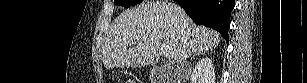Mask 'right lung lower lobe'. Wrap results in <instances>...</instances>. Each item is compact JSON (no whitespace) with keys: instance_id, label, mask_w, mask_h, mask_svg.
Wrapping results in <instances>:
<instances>
[{"instance_id":"right-lung-lower-lobe-1","label":"right lung lower lobe","mask_w":307,"mask_h":83,"mask_svg":"<svg viewBox=\"0 0 307 83\" xmlns=\"http://www.w3.org/2000/svg\"><path fill=\"white\" fill-rule=\"evenodd\" d=\"M196 24L217 30L228 42L235 0H176Z\"/></svg>"}]
</instances>
